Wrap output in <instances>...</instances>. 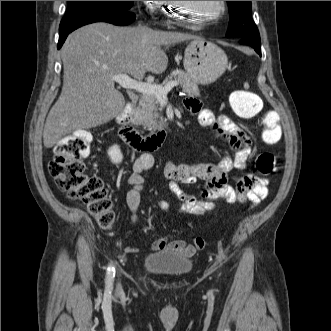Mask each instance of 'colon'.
<instances>
[{"instance_id":"obj_1","label":"colon","mask_w":331,"mask_h":331,"mask_svg":"<svg viewBox=\"0 0 331 331\" xmlns=\"http://www.w3.org/2000/svg\"><path fill=\"white\" fill-rule=\"evenodd\" d=\"M230 106L237 117L251 119L261 112L263 103L257 94L248 90H238L231 94ZM262 125L263 141L270 145L278 143L281 138L278 114L268 112L262 118ZM91 141V135L85 131L74 132L60 140L49 163V173L61 191L71 200L84 205L101 228L108 229L114 222L112 202L107 197L102 179L85 171L84 159L90 152ZM275 165V157L271 152H262L255 159V169L262 175L272 173ZM193 245L197 249H202L205 240L196 236Z\"/></svg>"}]
</instances>
